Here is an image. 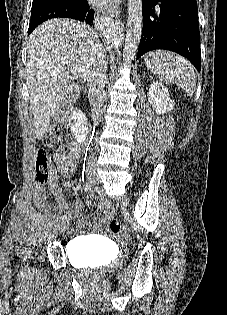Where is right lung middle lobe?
Instances as JSON below:
<instances>
[{
    "label": "right lung middle lobe",
    "instance_id": "right-lung-middle-lobe-1",
    "mask_svg": "<svg viewBox=\"0 0 227 315\" xmlns=\"http://www.w3.org/2000/svg\"><path fill=\"white\" fill-rule=\"evenodd\" d=\"M79 1L80 0H33L28 34L46 20L63 18L65 11Z\"/></svg>",
    "mask_w": 227,
    "mask_h": 315
}]
</instances>
